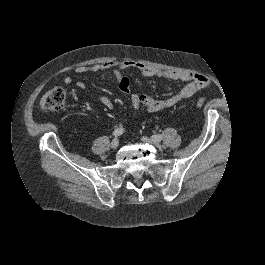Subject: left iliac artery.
<instances>
[{
	"mask_svg": "<svg viewBox=\"0 0 265 265\" xmlns=\"http://www.w3.org/2000/svg\"><path fill=\"white\" fill-rule=\"evenodd\" d=\"M152 139H153L154 141H158V142H159V141L162 140V135H157V134H156V135H153V136H152Z\"/></svg>",
	"mask_w": 265,
	"mask_h": 265,
	"instance_id": "1",
	"label": "left iliac artery"
}]
</instances>
